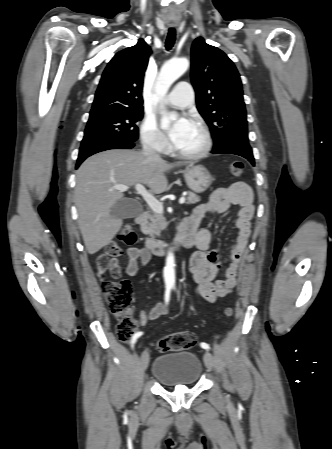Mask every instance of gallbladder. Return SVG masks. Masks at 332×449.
I'll return each instance as SVG.
<instances>
[{"mask_svg":"<svg viewBox=\"0 0 332 449\" xmlns=\"http://www.w3.org/2000/svg\"><path fill=\"white\" fill-rule=\"evenodd\" d=\"M142 212L140 204L132 198H123L111 208V215L115 218L126 219L138 216Z\"/></svg>","mask_w":332,"mask_h":449,"instance_id":"obj_1","label":"gallbladder"}]
</instances>
